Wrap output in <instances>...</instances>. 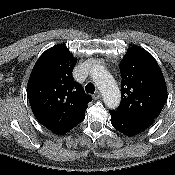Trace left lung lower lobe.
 <instances>
[{"label": "left lung lower lobe", "mask_w": 175, "mask_h": 175, "mask_svg": "<svg viewBox=\"0 0 175 175\" xmlns=\"http://www.w3.org/2000/svg\"><path fill=\"white\" fill-rule=\"evenodd\" d=\"M110 114L112 126L119 132L130 137L149 128L155 119L149 116L126 117L112 112Z\"/></svg>", "instance_id": "0a47b994"}]
</instances>
